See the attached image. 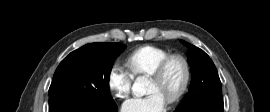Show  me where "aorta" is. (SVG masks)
Segmentation results:
<instances>
[{"label":"aorta","mask_w":270,"mask_h":112,"mask_svg":"<svg viewBox=\"0 0 270 112\" xmlns=\"http://www.w3.org/2000/svg\"><path fill=\"white\" fill-rule=\"evenodd\" d=\"M150 81L145 76H139L136 78L132 91L136 97H142L146 94V90Z\"/></svg>","instance_id":"762f6f07"}]
</instances>
